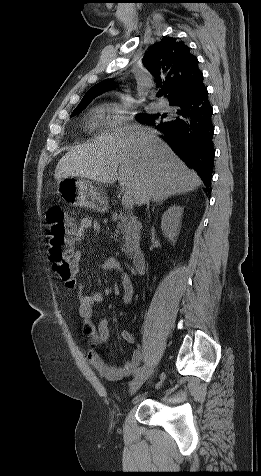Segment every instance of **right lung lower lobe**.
Returning a JSON list of instances; mask_svg holds the SVG:
<instances>
[{"mask_svg":"<svg viewBox=\"0 0 261 476\" xmlns=\"http://www.w3.org/2000/svg\"><path fill=\"white\" fill-rule=\"evenodd\" d=\"M170 105L177 108L175 116L165 115L149 124L164 134L163 140L198 173L210 193L215 156L213 109L203 81L191 95Z\"/></svg>","mask_w":261,"mask_h":476,"instance_id":"98d812e1","label":"right lung lower lobe"}]
</instances>
